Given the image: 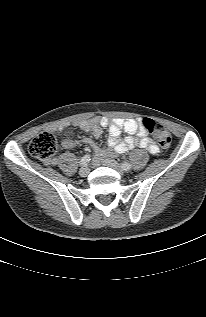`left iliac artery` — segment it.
Segmentation results:
<instances>
[{
    "label": "left iliac artery",
    "mask_w": 206,
    "mask_h": 317,
    "mask_svg": "<svg viewBox=\"0 0 206 317\" xmlns=\"http://www.w3.org/2000/svg\"><path fill=\"white\" fill-rule=\"evenodd\" d=\"M121 167L124 169V170H130L131 169V164L128 163V162H124L121 164Z\"/></svg>",
    "instance_id": "1"
}]
</instances>
